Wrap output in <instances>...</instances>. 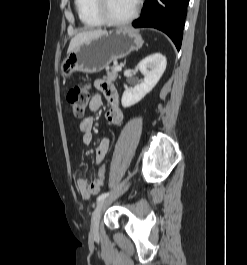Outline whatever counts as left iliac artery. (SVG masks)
Instances as JSON below:
<instances>
[{"mask_svg":"<svg viewBox=\"0 0 247 265\" xmlns=\"http://www.w3.org/2000/svg\"><path fill=\"white\" fill-rule=\"evenodd\" d=\"M109 194H110L109 192H107V193H102L101 195L98 196V198H97V202H99V201L105 199L107 196H109Z\"/></svg>","mask_w":247,"mask_h":265,"instance_id":"obj_1","label":"left iliac artery"}]
</instances>
